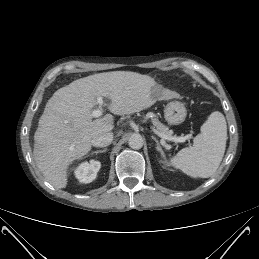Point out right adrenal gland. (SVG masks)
I'll return each mask as SVG.
<instances>
[{"label":"right adrenal gland","mask_w":259,"mask_h":259,"mask_svg":"<svg viewBox=\"0 0 259 259\" xmlns=\"http://www.w3.org/2000/svg\"><path fill=\"white\" fill-rule=\"evenodd\" d=\"M107 151V148H105V149H103V150H96V151H93L92 153H91V155H93V154H98V153H105Z\"/></svg>","instance_id":"obj_1"}]
</instances>
